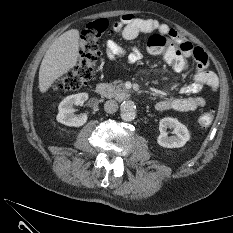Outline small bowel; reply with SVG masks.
Instances as JSON below:
<instances>
[{
	"label": "small bowel",
	"mask_w": 233,
	"mask_h": 233,
	"mask_svg": "<svg viewBox=\"0 0 233 233\" xmlns=\"http://www.w3.org/2000/svg\"><path fill=\"white\" fill-rule=\"evenodd\" d=\"M114 31L122 39L129 41L135 39L141 33L158 32L172 38L186 58H193L197 64V72L190 84L180 89V93L187 97H168L155 104L157 111L175 110L180 112H193L203 108L207 104V98L203 96H191L200 92H206L208 97L213 96L219 86L217 75L208 69L209 59L207 53L201 47L194 46L176 30L156 19H144L133 14H124L120 21L114 24ZM106 52L109 59L116 56H124L130 63L141 60L142 54L139 49H125L115 41L106 43Z\"/></svg>",
	"instance_id": "c3829d8e"
}]
</instances>
